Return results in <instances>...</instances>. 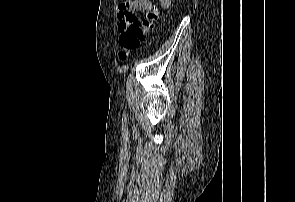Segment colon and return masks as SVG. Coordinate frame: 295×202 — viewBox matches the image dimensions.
Instances as JSON below:
<instances>
[{
  "label": "colon",
  "mask_w": 295,
  "mask_h": 202,
  "mask_svg": "<svg viewBox=\"0 0 295 202\" xmlns=\"http://www.w3.org/2000/svg\"><path fill=\"white\" fill-rule=\"evenodd\" d=\"M159 17V9L157 6H153L146 14V18L140 23H130L127 28L119 36V45L121 52L119 53V59L121 61L127 58V53L137 49L140 46L141 41L145 37V33L152 29L154 22Z\"/></svg>",
  "instance_id": "1"
}]
</instances>
